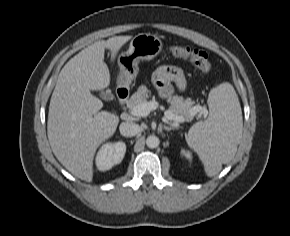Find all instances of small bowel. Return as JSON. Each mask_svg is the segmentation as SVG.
<instances>
[{
  "instance_id": "small-bowel-1",
  "label": "small bowel",
  "mask_w": 290,
  "mask_h": 236,
  "mask_svg": "<svg viewBox=\"0 0 290 236\" xmlns=\"http://www.w3.org/2000/svg\"><path fill=\"white\" fill-rule=\"evenodd\" d=\"M153 81L161 96L165 99H170L174 93L172 83L175 84L177 90L180 92H183L187 85L183 68L175 65L159 67L154 72Z\"/></svg>"
}]
</instances>
